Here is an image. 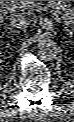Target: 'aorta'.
Segmentation results:
<instances>
[{"instance_id":"obj_1","label":"aorta","mask_w":74,"mask_h":122,"mask_svg":"<svg viewBox=\"0 0 74 122\" xmlns=\"http://www.w3.org/2000/svg\"><path fill=\"white\" fill-rule=\"evenodd\" d=\"M38 49L40 58L45 61H52L61 54V50L57 43L50 38H43L40 40Z\"/></svg>"}]
</instances>
